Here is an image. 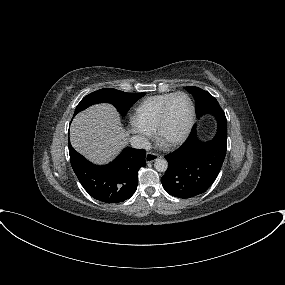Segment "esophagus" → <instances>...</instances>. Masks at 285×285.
Here are the masks:
<instances>
[{
    "label": "esophagus",
    "mask_w": 285,
    "mask_h": 285,
    "mask_svg": "<svg viewBox=\"0 0 285 285\" xmlns=\"http://www.w3.org/2000/svg\"><path fill=\"white\" fill-rule=\"evenodd\" d=\"M158 157H159V155L157 153L147 152L146 156H145V160L147 163H150V162L157 160Z\"/></svg>",
    "instance_id": "obj_1"
}]
</instances>
